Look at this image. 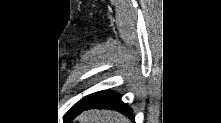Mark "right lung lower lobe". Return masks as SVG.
<instances>
[{
  "label": "right lung lower lobe",
  "instance_id": "98d812e1",
  "mask_svg": "<svg viewBox=\"0 0 221 123\" xmlns=\"http://www.w3.org/2000/svg\"><path fill=\"white\" fill-rule=\"evenodd\" d=\"M92 108L115 109V110L132 112L131 109L121 101L119 95L112 93L110 91H100L95 93L93 95L92 101L83 109V111ZM128 116L134 119L133 115H128ZM65 117L68 120H73V118H75L76 116L69 117L65 115Z\"/></svg>",
  "mask_w": 221,
  "mask_h": 123
}]
</instances>
